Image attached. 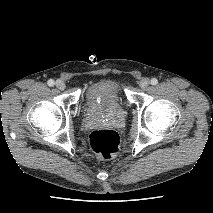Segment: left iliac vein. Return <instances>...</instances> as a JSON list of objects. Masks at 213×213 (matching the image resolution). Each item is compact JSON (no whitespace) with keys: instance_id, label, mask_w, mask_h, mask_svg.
I'll list each match as a JSON object with an SVG mask.
<instances>
[{"instance_id":"4c4485c4","label":"left iliac vein","mask_w":213,"mask_h":213,"mask_svg":"<svg viewBox=\"0 0 213 213\" xmlns=\"http://www.w3.org/2000/svg\"><path fill=\"white\" fill-rule=\"evenodd\" d=\"M149 84H150V81H149L148 78H143V79L140 81V83H139V85H140V87H141L142 89L147 88V86H148Z\"/></svg>"}]
</instances>
